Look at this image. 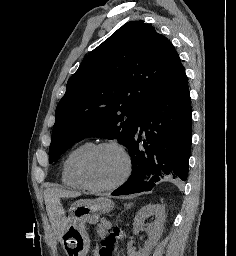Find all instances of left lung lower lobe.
Wrapping results in <instances>:
<instances>
[{
  "label": "left lung lower lobe",
  "mask_w": 236,
  "mask_h": 256,
  "mask_svg": "<svg viewBox=\"0 0 236 256\" xmlns=\"http://www.w3.org/2000/svg\"><path fill=\"white\" fill-rule=\"evenodd\" d=\"M191 138V100L184 71L137 117L127 148L133 173L111 195L150 191L165 178L186 181Z\"/></svg>",
  "instance_id": "obj_1"
}]
</instances>
